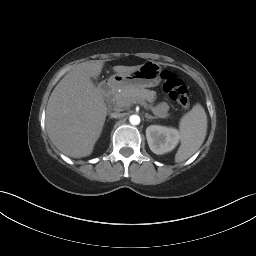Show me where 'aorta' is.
I'll list each match as a JSON object with an SVG mask.
<instances>
[{
  "label": "aorta",
  "instance_id": "1",
  "mask_svg": "<svg viewBox=\"0 0 256 256\" xmlns=\"http://www.w3.org/2000/svg\"><path fill=\"white\" fill-rule=\"evenodd\" d=\"M129 121L132 125H138L140 123V117L138 115H131Z\"/></svg>",
  "mask_w": 256,
  "mask_h": 256
}]
</instances>
